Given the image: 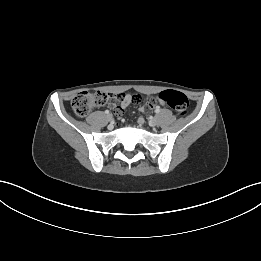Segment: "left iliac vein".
I'll return each mask as SVG.
<instances>
[{"label": "left iliac vein", "mask_w": 261, "mask_h": 261, "mask_svg": "<svg viewBox=\"0 0 261 261\" xmlns=\"http://www.w3.org/2000/svg\"><path fill=\"white\" fill-rule=\"evenodd\" d=\"M158 124V120L156 118H152L150 121H149V125L154 127Z\"/></svg>", "instance_id": "obj_1"}]
</instances>
